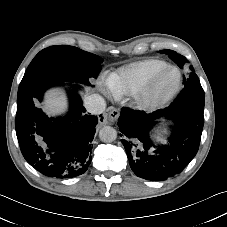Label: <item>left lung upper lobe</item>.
Listing matches in <instances>:
<instances>
[{"mask_svg": "<svg viewBox=\"0 0 227 227\" xmlns=\"http://www.w3.org/2000/svg\"><path fill=\"white\" fill-rule=\"evenodd\" d=\"M160 53L168 54L169 57L180 67H186L187 59L172 50H161ZM184 89L178 95V99L196 98L204 100V90L200 84L198 76L194 73V69L190 66V70L186 77L184 76Z\"/></svg>", "mask_w": 227, "mask_h": 227, "instance_id": "1", "label": "left lung upper lobe"}]
</instances>
